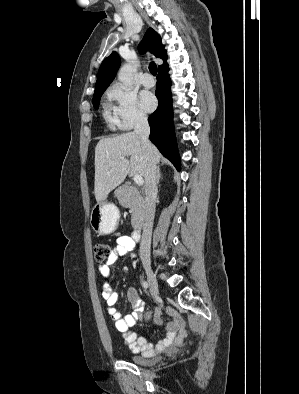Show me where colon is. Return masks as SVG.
<instances>
[{"label":"colon","mask_w":299,"mask_h":394,"mask_svg":"<svg viewBox=\"0 0 299 394\" xmlns=\"http://www.w3.org/2000/svg\"><path fill=\"white\" fill-rule=\"evenodd\" d=\"M95 260L98 263H105L111 256V247L105 242H95L93 245Z\"/></svg>","instance_id":"obj_1"}]
</instances>
